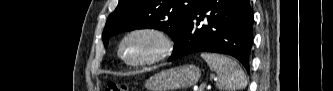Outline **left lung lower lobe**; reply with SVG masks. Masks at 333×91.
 <instances>
[{
    "mask_svg": "<svg viewBox=\"0 0 333 91\" xmlns=\"http://www.w3.org/2000/svg\"><path fill=\"white\" fill-rule=\"evenodd\" d=\"M253 21L249 0H200L173 40L168 61L196 52H215L235 57L249 72Z\"/></svg>",
    "mask_w": 333,
    "mask_h": 91,
    "instance_id": "1",
    "label": "left lung lower lobe"
}]
</instances>
